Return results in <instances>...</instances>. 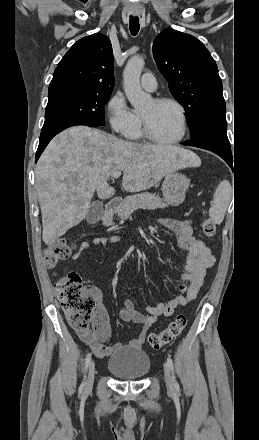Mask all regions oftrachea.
I'll list each match as a JSON object with an SVG mask.
<instances>
[{
    "instance_id": "3493384b",
    "label": "trachea",
    "mask_w": 259,
    "mask_h": 440,
    "mask_svg": "<svg viewBox=\"0 0 259 440\" xmlns=\"http://www.w3.org/2000/svg\"><path fill=\"white\" fill-rule=\"evenodd\" d=\"M139 19L138 17H131L130 18V32L133 36L137 35L139 32Z\"/></svg>"
}]
</instances>
